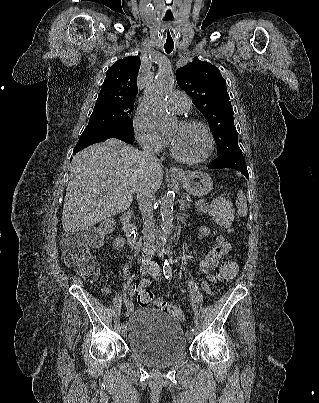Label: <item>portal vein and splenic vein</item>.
Wrapping results in <instances>:
<instances>
[{"label":"portal vein and splenic vein","instance_id":"1","mask_svg":"<svg viewBox=\"0 0 319 403\" xmlns=\"http://www.w3.org/2000/svg\"><path fill=\"white\" fill-rule=\"evenodd\" d=\"M200 203V201L195 202V205H198Z\"/></svg>","mask_w":319,"mask_h":403}]
</instances>
